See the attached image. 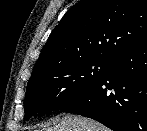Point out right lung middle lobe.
Here are the masks:
<instances>
[{
	"mask_svg": "<svg viewBox=\"0 0 147 131\" xmlns=\"http://www.w3.org/2000/svg\"><path fill=\"white\" fill-rule=\"evenodd\" d=\"M112 64L113 60L91 58L32 76L24 100L25 120L73 104L102 80Z\"/></svg>",
	"mask_w": 147,
	"mask_h": 131,
	"instance_id": "obj_1",
	"label": "right lung middle lobe"
}]
</instances>
